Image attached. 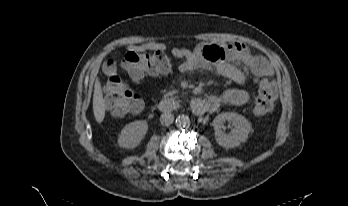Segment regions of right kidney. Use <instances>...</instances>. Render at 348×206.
Here are the masks:
<instances>
[{
	"mask_svg": "<svg viewBox=\"0 0 348 206\" xmlns=\"http://www.w3.org/2000/svg\"><path fill=\"white\" fill-rule=\"evenodd\" d=\"M147 131L148 124L145 121L131 122L121 130L118 144L123 148H135L141 143Z\"/></svg>",
	"mask_w": 348,
	"mask_h": 206,
	"instance_id": "right-kidney-1",
	"label": "right kidney"
}]
</instances>
